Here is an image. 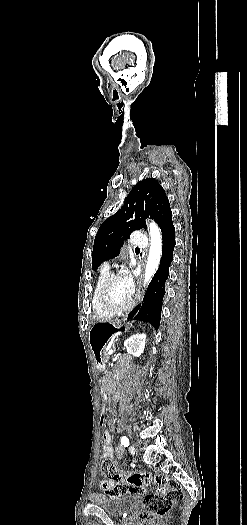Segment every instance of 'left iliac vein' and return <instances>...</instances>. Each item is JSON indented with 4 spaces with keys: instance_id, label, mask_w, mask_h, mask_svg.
<instances>
[{
    "instance_id": "obj_1",
    "label": "left iliac vein",
    "mask_w": 247,
    "mask_h": 525,
    "mask_svg": "<svg viewBox=\"0 0 247 525\" xmlns=\"http://www.w3.org/2000/svg\"><path fill=\"white\" fill-rule=\"evenodd\" d=\"M135 451H136V450H135V447L131 445V446L129 447V452H130L131 454H134Z\"/></svg>"
}]
</instances>
